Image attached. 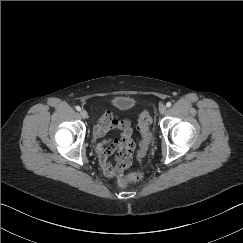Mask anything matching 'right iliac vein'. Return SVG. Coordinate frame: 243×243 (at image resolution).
Instances as JSON below:
<instances>
[{
	"label": "right iliac vein",
	"instance_id": "obj_1",
	"mask_svg": "<svg viewBox=\"0 0 243 243\" xmlns=\"http://www.w3.org/2000/svg\"><path fill=\"white\" fill-rule=\"evenodd\" d=\"M80 115H81V117L84 118V119H86V118L88 117V113H87L86 110H81V111H80Z\"/></svg>",
	"mask_w": 243,
	"mask_h": 243
}]
</instances>
